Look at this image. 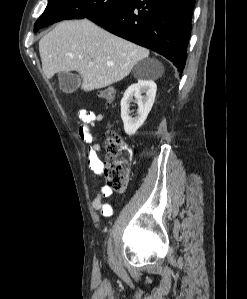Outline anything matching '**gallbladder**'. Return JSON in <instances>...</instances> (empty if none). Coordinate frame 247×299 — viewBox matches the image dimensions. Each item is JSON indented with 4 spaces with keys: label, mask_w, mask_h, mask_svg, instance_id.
<instances>
[{
    "label": "gallbladder",
    "mask_w": 247,
    "mask_h": 299,
    "mask_svg": "<svg viewBox=\"0 0 247 299\" xmlns=\"http://www.w3.org/2000/svg\"><path fill=\"white\" fill-rule=\"evenodd\" d=\"M59 88L64 93L71 94L80 86V76L72 72H60L58 74Z\"/></svg>",
    "instance_id": "bac80fb5"
}]
</instances>
